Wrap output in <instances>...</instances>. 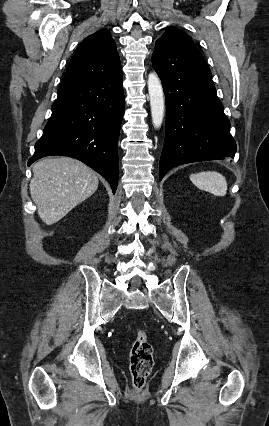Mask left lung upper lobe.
Masks as SVG:
<instances>
[{"label": "left lung upper lobe", "mask_w": 269, "mask_h": 426, "mask_svg": "<svg viewBox=\"0 0 269 426\" xmlns=\"http://www.w3.org/2000/svg\"><path fill=\"white\" fill-rule=\"evenodd\" d=\"M156 42L198 50L192 39L177 28H169Z\"/></svg>", "instance_id": "obj_1"}]
</instances>
